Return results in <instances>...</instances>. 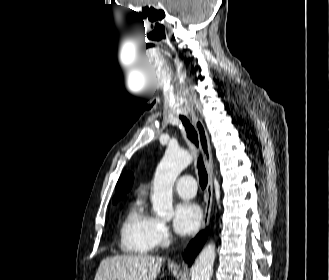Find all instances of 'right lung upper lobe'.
I'll list each match as a JSON object with an SVG mask.
<instances>
[{
  "instance_id": "1",
  "label": "right lung upper lobe",
  "mask_w": 329,
  "mask_h": 280,
  "mask_svg": "<svg viewBox=\"0 0 329 280\" xmlns=\"http://www.w3.org/2000/svg\"><path fill=\"white\" fill-rule=\"evenodd\" d=\"M133 182V174L130 172H125L119 178L116 185V193L121 198L125 196V193L131 188ZM118 197H114L113 202L117 201Z\"/></svg>"
}]
</instances>
